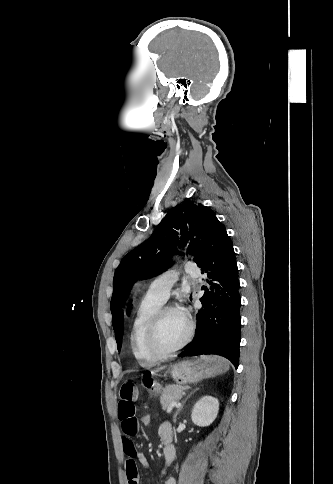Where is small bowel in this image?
Wrapping results in <instances>:
<instances>
[{
	"label": "small bowel",
	"instance_id": "obj_1",
	"mask_svg": "<svg viewBox=\"0 0 333 484\" xmlns=\"http://www.w3.org/2000/svg\"><path fill=\"white\" fill-rule=\"evenodd\" d=\"M138 398V388L133 382H124L119 389V401H118V418L121 421L122 426V444L124 453L127 456L125 462V470L128 484H139L137 462L143 467L149 468V462L143 453L137 451L133 438L138 435L140 431V425L136 414L135 402ZM159 437L164 442V457L166 465L172 463L175 459L176 451L172 445L173 430L172 426L168 422H164L160 425ZM165 473L161 472V476ZM163 484H176L174 478H167Z\"/></svg>",
	"mask_w": 333,
	"mask_h": 484
}]
</instances>
